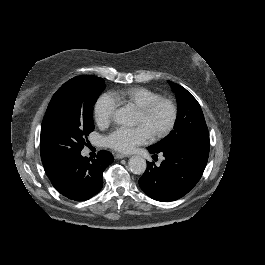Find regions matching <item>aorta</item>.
<instances>
[{"label": "aorta", "mask_w": 265, "mask_h": 265, "mask_svg": "<svg viewBox=\"0 0 265 265\" xmlns=\"http://www.w3.org/2000/svg\"><path fill=\"white\" fill-rule=\"evenodd\" d=\"M128 114L125 108H121L115 113V121L118 123H127ZM129 169L135 174H142L146 169V160L138 155L131 156L128 160Z\"/></svg>", "instance_id": "1"}]
</instances>
